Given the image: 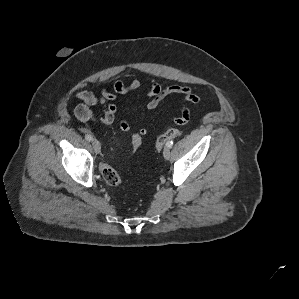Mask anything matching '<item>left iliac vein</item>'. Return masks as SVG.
Instances as JSON below:
<instances>
[{"mask_svg": "<svg viewBox=\"0 0 299 299\" xmlns=\"http://www.w3.org/2000/svg\"><path fill=\"white\" fill-rule=\"evenodd\" d=\"M163 156H164V158L167 159V160L170 158V156H171V152H170L169 147H165V148H164Z\"/></svg>", "mask_w": 299, "mask_h": 299, "instance_id": "left-iliac-vein-1", "label": "left iliac vein"}]
</instances>
